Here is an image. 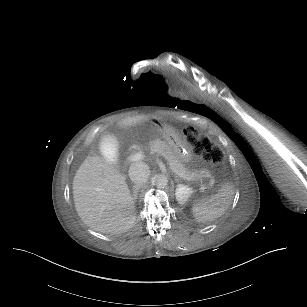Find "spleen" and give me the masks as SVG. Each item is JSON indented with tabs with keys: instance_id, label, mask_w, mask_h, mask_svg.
Listing matches in <instances>:
<instances>
[{
	"instance_id": "3e777b00",
	"label": "spleen",
	"mask_w": 307,
	"mask_h": 307,
	"mask_svg": "<svg viewBox=\"0 0 307 307\" xmlns=\"http://www.w3.org/2000/svg\"><path fill=\"white\" fill-rule=\"evenodd\" d=\"M232 195L233 189L229 185L222 186L218 193L209 198L208 201L194 207L196 219L199 222L206 223L222 216L232 201Z\"/></svg>"
}]
</instances>
